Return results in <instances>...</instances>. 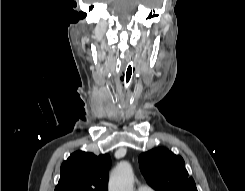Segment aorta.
Segmentation results:
<instances>
[{"label": "aorta", "instance_id": "obj_1", "mask_svg": "<svg viewBox=\"0 0 245 191\" xmlns=\"http://www.w3.org/2000/svg\"><path fill=\"white\" fill-rule=\"evenodd\" d=\"M134 176L128 162H120L113 170L109 180L108 191H133Z\"/></svg>", "mask_w": 245, "mask_h": 191}]
</instances>
